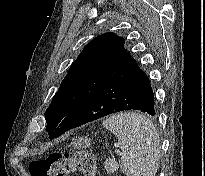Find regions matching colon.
Listing matches in <instances>:
<instances>
[{"mask_svg":"<svg viewBox=\"0 0 205 176\" xmlns=\"http://www.w3.org/2000/svg\"><path fill=\"white\" fill-rule=\"evenodd\" d=\"M75 170L82 172L85 176H95L97 167L90 151L53 153L29 164L30 176H68Z\"/></svg>","mask_w":205,"mask_h":176,"instance_id":"1","label":"colon"}]
</instances>
